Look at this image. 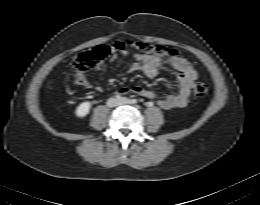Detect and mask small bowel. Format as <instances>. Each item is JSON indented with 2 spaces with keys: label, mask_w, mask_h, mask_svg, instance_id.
Returning a JSON list of instances; mask_svg holds the SVG:
<instances>
[{
  "label": "small bowel",
  "mask_w": 260,
  "mask_h": 205,
  "mask_svg": "<svg viewBox=\"0 0 260 205\" xmlns=\"http://www.w3.org/2000/svg\"><path fill=\"white\" fill-rule=\"evenodd\" d=\"M120 50L112 49L111 59L114 61L118 58ZM170 64L177 71V78L179 81V88L176 93L166 95L160 98L157 102L158 106L162 109L169 110L173 108H183L187 105L188 99L191 94L194 81L198 77V71L192 64L185 58L178 56L176 58H159L150 54L135 53V62L129 67L131 72H142L149 78H154L158 75L159 70L163 63ZM103 65L100 64L96 67L97 71L102 70ZM75 84L92 88V83L86 74L77 72L73 76ZM98 92L102 91L101 87H96ZM129 94H136L145 98H155L157 92L154 90L146 89L143 86H126L117 90L116 95L126 96Z\"/></svg>",
  "instance_id": "obj_1"
}]
</instances>
